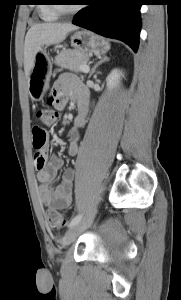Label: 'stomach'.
I'll return each mask as SVG.
<instances>
[{
  "instance_id": "stomach-1",
  "label": "stomach",
  "mask_w": 181,
  "mask_h": 300,
  "mask_svg": "<svg viewBox=\"0 0 181 300\" xmlns=\"http://www.w3.org/2000/svg\"><path fill=\"white\" fill-rule=\"evenodd\" d=\"M71 45L75 50L86 54L104 55L110 44L104 38L89 32L77 31L71 35ZM52 63L46 53V49L41 46L35 55L34 64L29 75L28 89L33 100L43 98L49 83Z\"/></svg>"
}]
</instances>
